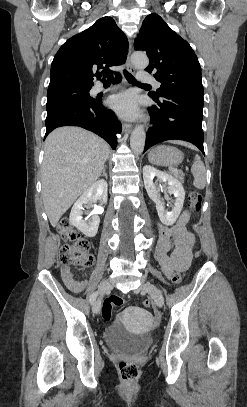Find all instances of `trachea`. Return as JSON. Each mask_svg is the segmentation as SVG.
Returning a JSON list of instances; mask_svg holds the SVG:
<instances>
[{"mask_svg": "<svg viewBox=\"0 0 247 407\" xmlns=\"http://www.w3.org/2000/svg\"><path fill=\"white\" fill-rule=\"evenodd\" d=\"M124 76L127 79L128 82L136 85H145V86H150L148 84H142L138 82L132 74H130L128 71L124 70ZM113 79V76L111 74L107 75V82H111Z\"/></svg>", "mask_w": 247, "mask_h": 407, "instance_id": "trachea-1", "label": "trachea"}]
</instances>
